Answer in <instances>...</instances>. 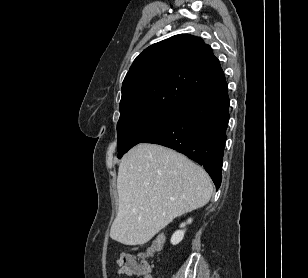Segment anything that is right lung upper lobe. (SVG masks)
Listing matches in <instances>:
<instances>
[{"instance_id":"obj_1","label":"right lung upper lobe","mask_w":308,"mask_h":278,"mask_svg":"<svg viewBox=\"0 0 308 278\" xmlns=\"http://www.w3.org/2000/svg\"><path fill=\"white\" fill-rule=\"evenodd\" d=\"M225 84L209 45L188 34L172 36L134 60L122 84L119 120L150 109H179Z\"/></svg>"}]
</instances>
